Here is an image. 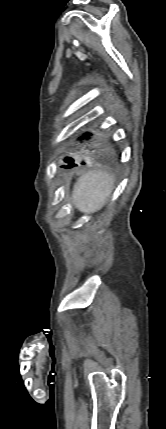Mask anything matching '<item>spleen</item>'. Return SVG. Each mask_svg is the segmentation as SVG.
Returning <instances> with one entry per match:
<instances>
[{"label":"spleen","mask_w":166,"mask_h":429,"mask_svg":"<svg viewBox=\"0 0 166 429\" xmlns=\"http://www.w3.org/2000/svg\"><path fill=\"white\" fill-rule=\"evenodd\" d=\"M114 182V176L106 171H88L75 183L72 202L80 212L94 213L106 204Z\"/></svg>","instance_id":"1"}]
</instances>
